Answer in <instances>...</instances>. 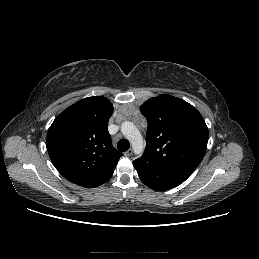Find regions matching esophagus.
I'll use <instances>...</instances> for the list:
<instances>
[{
  "label": "esophagus",
  "instance_id": "34e87169",
  "mask_svg": "<svg viewBox=\"0 0 259 259\" xmlns=\"http://www.w3.org/2000/svg\"><path fill=\"white\" fill-rule=\"evenodd\" d=\"M132 154H133V150H132V149H128V150L124 153L125 156H131Z\"/></svg>",
  "mask_w": 259,
  "mask_h": 259
}]
</instances>
